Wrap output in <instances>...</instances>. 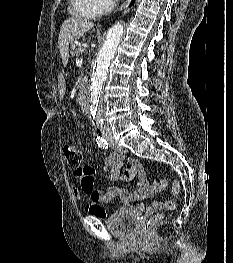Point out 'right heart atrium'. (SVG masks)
<instances>
[{
  "label": "right heart atrium",
  "instance_id": "1",
  "mask_svg": "<svg viewBox=\"0 0 233 263\" xmlns=\"http://www.w3.org/2000/svg\"><path fill=\"white\" fill-rule=\"evenodd\" d=\"M99 13H105L114 7L115 0H91Z\"/></svg>",
  "mask_w": 233,
  "mask_h": 263
}]
</instances>
